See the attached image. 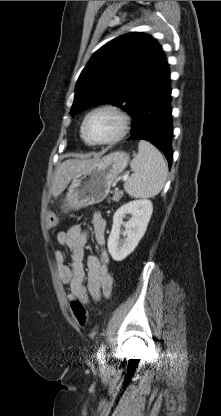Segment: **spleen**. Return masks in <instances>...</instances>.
Here are the masks:
<instances>
[{"instance_id": "obj_1", "label": "spleen", "mask_w": 221, "mask_h": 416, "mask_svg": "<svg viewBox=\"0 0 221 416\" xmlns=\"http://www.w3.org/2000/svg\"><path fill=\"white\" fill-rule=\"evenodd\" d=\"M130 167L134 174L124 183V190L134 198L156 196L166 182L168 168L161 152L150 142L140 140L138 154Z\"/></svg>"}]
</instances>
